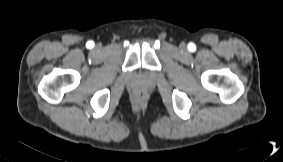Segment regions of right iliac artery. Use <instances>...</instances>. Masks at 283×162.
I'll return each instance as SVG.
<instances>
[{
  "label": "right iliac artery",
  "mask_w": 283,
  "mask_h": 162,
  "mask_svg": "<svg viewBox=\"0 0 283 162\" xmlns=\"http://www.w3.org/2000/svg\"><path fill=\"white\" fill-rule=\"evenodd\" d=\"M87 46H88L89 48H92V47L94 46V42H93V41H89V42L87 43Z\"/></svg>",
  "instance_id": "82829eb1"
}]
</instances>
